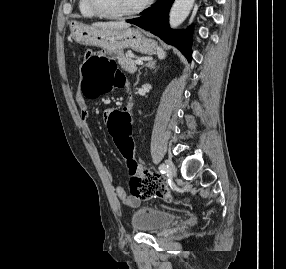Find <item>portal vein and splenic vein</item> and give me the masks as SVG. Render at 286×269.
<instances>
[{"mask_svg": "<svg viewBox=\"0 0 286 269\" xmlns=\"http://www.w3.org/2000/svg\"><path fill=\"white\" fill-rule=\"evenodd\" d=\"M135 63H136L137 65H142V64H143V61H142L141 59H137V60H135Z\"/></svg>", "mask_w": 286, "mask_h": 269, "instance_id": "obj_1", "label": "portal vein and splenic vein"}]
</instances>
